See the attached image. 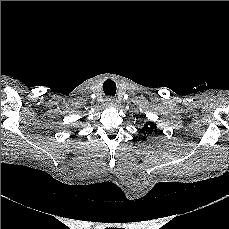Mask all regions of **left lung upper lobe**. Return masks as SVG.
Returning a JSON list of instances; mask_svg holds the SVG:
<instances>
[{"label":"left lung upper lobe","instance_id":"obj_1","mask_svg":"<svg viewBox=\"0 0 229 229\" xmlns=\"http://www.w3.org/2000/svg\"><path fill=\"white\" fill-rule=\"evenodd\" d=\"M141 133L145 134H156L158 131L156 129V125L152 122H147L143 128L140 130ZM144 139H146L144 136H142Z\"/></svg>","mask_w":229,"mask_h":229}]
</instances>
